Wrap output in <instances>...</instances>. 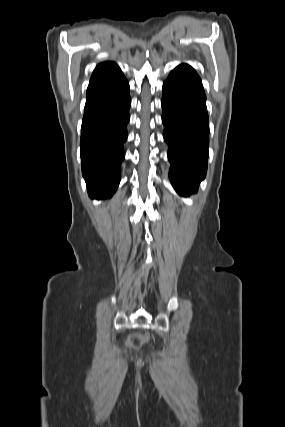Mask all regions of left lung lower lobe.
Masks as SVG:
<instances>
[{"instance_id":"left-lung-lower-lobe-1","label":"left lung lower lobe","mask_w":285,"mask_h":427,"mask_svg":"<svg viewBox=\"0 0 285 427\" xmlns=\"http://www.w3.org/2000/svg\"><path fill=\"white\" fill-rule=\"evenodd\" d=\"M162 109L169 177L178 194L189 196L205 178L209 143L206 96L191 66L181 64L169 74L163 84Z\"/></svg>"}]
</instances>
